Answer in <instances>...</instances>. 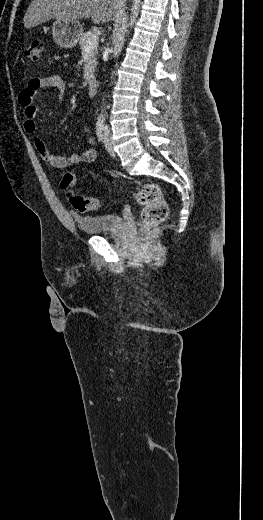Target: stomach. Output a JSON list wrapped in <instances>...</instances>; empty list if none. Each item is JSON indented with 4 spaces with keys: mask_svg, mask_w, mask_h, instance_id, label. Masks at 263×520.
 I'll return each instance as SVG.
<instances>
[{
    "mask_svg": "<svg viewBox=\"0 0 263 520\" xmlns=\"http://www.w3.org/2000/svg\"><path fill=\"white\" fill-rule=\"evenodd\" d=\"M52 32L53 38L59 46L73 48L83 34V27L79 21L57 19L53 23Z\"/></svg>",
    "mask_w": 263,
    "mask_h": 520,
    "instance_id": "stomach-1",
    "label": "stomach"
}]
</instances>
